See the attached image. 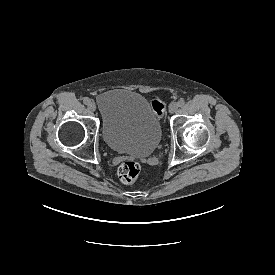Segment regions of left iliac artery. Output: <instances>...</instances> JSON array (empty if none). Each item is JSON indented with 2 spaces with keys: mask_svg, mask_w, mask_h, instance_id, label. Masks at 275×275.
Returning <instances> with one entry per match:
<instances>
[{
  "mask_svg": "<svg viewBox=\"0 0 275 275\" xmlns=\"http://www.w3.org/2000/svg\"><path fill=\"white\" fill-rule=\"evenodd\" d=\"M184 103H185V102H184L183 100H180L177 104H178L179 107H181V106L184 105Z\"/></svg>",
  "mask_w": 275,
  "mask_h": 275,
  "instance_id": "obj_1",
  "label": "left iliac artery"
}]
</instances>
